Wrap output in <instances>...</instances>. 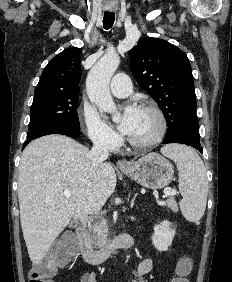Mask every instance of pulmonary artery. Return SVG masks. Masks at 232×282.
Returning a JSON list of instances; mask_svg holds the SVG:
<instances>
[{"label": "pulmonary artery", "mask_w": 232, "mask_h": 282, "mask_svg": "<svg viewBox=\"0 0 232 282\" xmlns=\"http://www.w3.org/2000/svg\"><path fill=\"white\" fill-rule=\"evenodd\" d=\"M132 85L130 78L125 73L116 74L110 84L112 95L118 98H124L130 95Z\"/></svg>", "instance_id": "pulmonary-artery-1"}]
</instances>
